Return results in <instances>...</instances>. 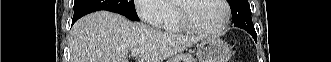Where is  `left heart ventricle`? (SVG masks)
Instances as JSON below:
<instances>
[{"label": "left heart ventricle", "instance_id": "b2bd125f", "mask_svg": "<svg viewBox=\"0 0 331 62\" xmlns=\"http://www.w3.org/2000/svg\"><path fill=\"white\" fill-rule=\"evenodd\" d=\"M185 11L196 26L205 30L218 28L224 17V9L218 0L187 1Z\"/></svg>", "mask_w": 331, "mask_h": 62}]
</instances>
